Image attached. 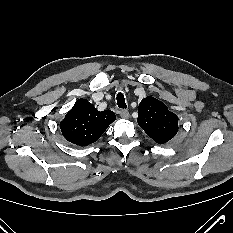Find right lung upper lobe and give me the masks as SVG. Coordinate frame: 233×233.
Returning a JSON list of instances; mask_svg holds the SVG:
<instances>
[{"label":"right lung upper lobe","instance_id":"right-lung-upper-lobe-1","mask_svg":"<svg viewBox=\"0 0 233 233\" xmlns=\"http://www.w3.org/2000/svg\"><path fill=\"white\" fill-rule=\"evenodd\" d=\"M115 119L111 110L100 112L86 99H79L61 121L60 128L66 140L87 146L97 141Z\"/></svg>","mask_w":233,"mask_h":233}]
</instances>
